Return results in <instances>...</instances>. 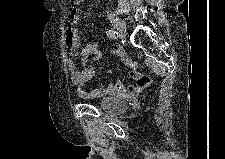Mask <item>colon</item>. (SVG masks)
Returning <instances> with one entry per match:
<instances>
[{"mask_svg":"<svg viewBox=\"0 0 225 159\" xmlns=\"http://www.w3.org/2000/svg\"><path fill=\"white\" fill-rule=\"evenodd\" d=\"M128 63H129V66H130L132 72L134 73V75H138L139 69H138L137 62L131 58H128Z\"/></svg>","mask_w":225,"mask_h":159,"instance_id":"5ec220e1","label":"colon"}]
</instances>
